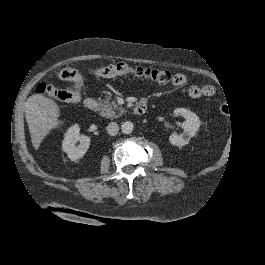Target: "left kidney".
<instances>
[{
  "instance_id": "5707ae66",
  "label": "left kidney",
  "mask_w": 265,
  "mask_h": 265,
  "mask_svg": "<svg viewBox=\"0 0 265 265\" xmlns=\"http://www.w3.org/2000/svg\"><path fill=\"white\" fill-rule=\"evenodd\" d=\"M174 115L184 117L185 119L182 123L183 134L180 136L177 134L170 136L169 142L173 146L182 147L187 145L195 136L201 126V122L195 113L184 108L175 109Z\"/></svg>"
}]
</instances>
